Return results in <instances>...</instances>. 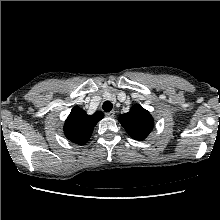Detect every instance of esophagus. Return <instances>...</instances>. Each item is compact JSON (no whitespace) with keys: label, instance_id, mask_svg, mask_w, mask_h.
I'll return each instance as SVG.
<instances>
[{"label":"esophagus","instance_id":"1","mask_svg":"<svg viewBox=\"0 0 220 220\" xmlns=\"http://www.w3.org/2000/svg\"><path fill=\"white\" fill-rule=\"evenodd\" d=\"M106 116L112 118L115 116V112L112 110V111L106 113Z\"/></svg>","mask_w":220,"mask_h":220}]
</instances>
